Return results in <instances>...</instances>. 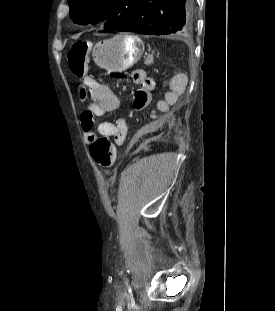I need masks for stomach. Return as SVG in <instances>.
Returning a JSON list of instances; mask_svg holds the SVG:
<instances>
[{
  "label": "stomach",
  "instance_id": "0dacf381",
  "mask_svg": "<svg viewBox=\"0 0 275 311\" xmlns=\"http://www.w3.org/2000/svg\"><path fill=\"white\" fill-rule=\"evenodd\" d=\"M144 43L134 35H117L98 42L92 52L95 64L108 72H123L142 57Z\"/></svg>",
  "mask_w": 275,
  "mask_h": 311
}]
</instances>
